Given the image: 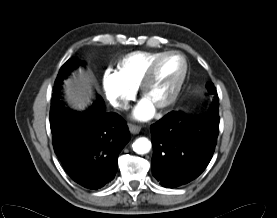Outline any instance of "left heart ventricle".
I'll list each match as a JSON object with an SVG mask.
<instances>
[{"mask_svg":"<svg viewBox=\"0 0 277 218\" xmlns=\"http://www.w3.org/2000/svg\"><path fill=\"white\" fill-rule=\"evenodd\" d=\"M183 70L180 57L170 55L157 66L155 76L146 89L145 98L154 106L168 98Z\"/></svg>","mask_w":277,"mask_h":218,"instance_id":"b2bd125f","label":"left heart ventricle"}]
</instances>
